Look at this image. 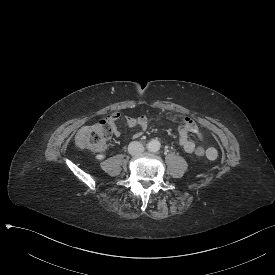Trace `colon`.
Returning <instances> with one entry per match:
<instances>
[{
    "label": "colon",
    "instance_id": "colon-1",
    "mask_svg": "<svg viewBox=\"0 0 275 275\" xmlns=\"http://www.w3.org/2000/svg\"><path fill=\"white\" fill-rule=\"evenodd\" d=\"M116 114L108 113L105 121H101L92 125L85 126L82 128L76 135V145L80 149L86 150H96L101 151L105 148L106 143L112 133V130L115 129L116 123ZM143 122L141 117L137 118H127L125 123L127 125H138ZM196 155L203 156L206 153L205 148L198 147L196 149Z\"/></svg>",
    "mask_w": 275,
    "mask_h": 275
}]
</instances>
